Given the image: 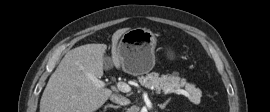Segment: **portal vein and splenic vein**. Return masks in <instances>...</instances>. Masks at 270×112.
I'll list each match as a JSON object with an SVG mask.
<instances>
[{"label":"portal vein and splenic vein","mask_w":270,"mask_h":112,"mask_svg":"<svg viewBox=\"0 0 270 112\" xmlns=\"http://www.w3.org/2000/svg\"><path fill=\"white\" fill-rule=\"evenodd\" d=\"M92 81L95 84V86H97V87H104L105 86V83L99 79L93 78ZM116 86L121 92L127 93V92L131 91V87L125 82H118L116 84ZM166 92H174L176 94L185 95L186 97L189 96L188 92L184 89H171V90H167Z\"/></svg>","instance_id":"obj_1"}]
</instances>
